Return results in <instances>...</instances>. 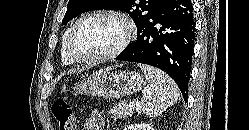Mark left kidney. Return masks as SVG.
I'll list each match as a JSON object with an SVG mask.
<instances>
[{
    "mask_svg": "<svg viewBox=\"0 0 249 130\" xmlns=\"http://www.w3.org/2000/svg\"><path fill=\"white\" fill-rule=\"evenodd\" d=\"M125 130H154L152 126L146 123L131 124L125 128Z\"/></svg>",
    "mask_w": 249,
    "mask_h": 130,
    "instance_id": "1",
    "label": "left kidney"
}]
</instances>
